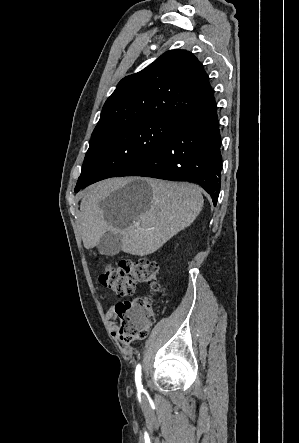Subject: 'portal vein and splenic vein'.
<instances>
[{
  "label": "portal vein and splenic vein",
  "mask_w": 299,
  "mask_h": 443,
  "mask_svg": "<svg viewBox=\"0 0 299 443\" xmlns=\"http://www.w3.org/2000/svg\"><path fill=\"white\" fill-rule=\"evenodd\" d=\"M133 225H134L135 227H138V226H139V223H138V222H133Z\"/></svg>",
  "instance_id": "obj_1"
}]
</instances>
